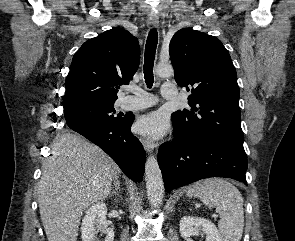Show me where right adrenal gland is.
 Segmentation results:
<instances>
[{
    "label": "right adrenal gland",
    "instance_id": "1",
    "mask_svg": "<svg viewBox=\"0 0 295 241\" xmlns=\"http://www.w3.org/2000/svg\"><path fill=\"white\" fill-rule=\"evenodd\" d=\"M113 181H114L113 182V185L115 187V190L114 189L112 190L111 195L112 196H114V195L116 196V195H118V191L119 192L121 191L119 176L118 175H115Z\"/></svg>",
    "mask_w": 295,
    "mask_h": 241
}]
</instances>
